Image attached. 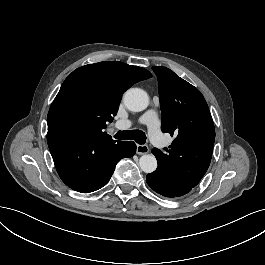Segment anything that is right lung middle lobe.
I'll use <instances>...</instances> for the list:
<instances>
[{
    "mask_svg": "<svg viewBox=\"0 0 265 265\" xmlns=\"http://www.w3.org/2000/svg\"><path fill=\"white\" fill-rule=\"evenodd\" d=\"M99 115V106L91 100L79 96L68 97L51 105L47 117L48 131L93 135Z\"/></svg>",
    "mask_w": 265,
    "mask_h": 265,
    "instance_id": "obj_1",
    "label": "right lung middle lobe"
}]
</instances>
